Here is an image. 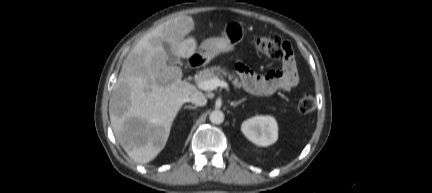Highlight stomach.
Returning a JSON list of instances; mask_svg holds the SVG:
<instances>
[{
	"label": "stomach",
	"instance_id": "stomach-1",
	"mask_svg": "<svg viewBox=\"0 0 432 193\" xmlns=\"http://www.w3.org/2000/svg\"><path fill=\"white\" fill-rule=\"evenodd\" d=\"M245 30L241 22L231 21L224 27L222 37H212L204 40L199 48L198 54L201 58L210 61L223 52L235 49L236 45L244 38Z\"/></svg>",
	"mask_w": 432,
	"mask_h": 193
}]
</instances>
